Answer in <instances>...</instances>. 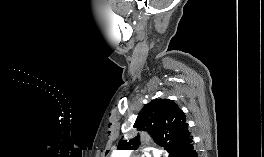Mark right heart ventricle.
I'll use <instances>...</instances> for the list:
<instances>
[{
    "label": "right heart ventricle",
    "instance_id": "obj_1",
    "mask_svg": "<svg viewBox=\"0 0 264 157\" xmlns=\"http://www.w3.org/2000/svg\"><path fill=\"white\" fill-rule=\"evenodd\" d=\"M112 157H125L122 153H115Z\"/></svg>",
    "mask_w": 264,
    "mask_h": 157
}]
</instances>
